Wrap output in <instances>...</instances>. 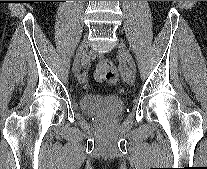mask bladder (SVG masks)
<instances>
[{"instance_id": "31cf9c89", "label": "bladder", "mask_w": 207, "mask_h": 169, "mask_svg": "<svg viewBox=\"0 0 207 169\" xmlns=\"http://www.w3.org/2000/svg\"><path fill=\"white\" fill-rule=\"evenodd\" d=\"M80 106L88 115L114 116L125 110L126 104L123 98L118 95H100L87 93L82 96Z\"/></svg>"}]
</instances>
